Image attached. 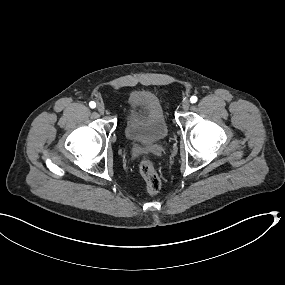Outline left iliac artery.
Segmentation results:
<instances>
[{"label":"left iliac artery","instance_id":"obj_1","mask_svg":"<svg viewBox=\"0 0 285 285\" xmlns=\"http://www.w3.org/2000/svg\"><path fill=\"white\" fill-rule=\"evenodd\" d=\"M197 97L196 96H192L191 98H190V101H191V103H196L197 102Z\"/></svg>","mask_w":285,"mask_h":285}]
</instances>
